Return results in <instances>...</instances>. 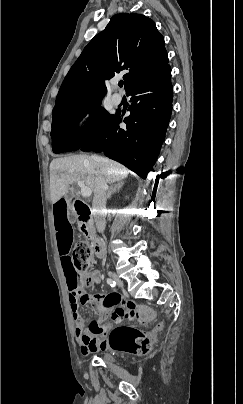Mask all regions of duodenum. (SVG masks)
<instances>
[{
	"label": "duodenum",
	"mask_w": 243,
	"mask_h": 404,
	"mask_svg": "<svg viewBox=\"0 0 243 404\" xmlns=\"http://www.w3.org/2000/svg\"><path fill=\"white\" fill-rule=\"evenodd\" d=\"M74 212L81 222V229L84 233L89 234L88 222L90 219V209L89 207L80 200L74 201ZM93 248L97 258L104 257V246L101 240L98 238L93 239Z\"/></svg>",
	"instance_id": "obj_1"
}]
</instances>
